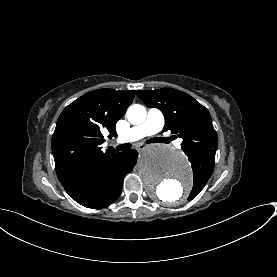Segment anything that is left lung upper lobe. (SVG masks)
I'll list each match as a JSON object with an SVG mask.
<instances>
[{"instance_id":"5c2ea615","label":"left lung upper lobe","mask_w":277,"mask_h":277,"mask_svg":"<svg viewBox=\"0 0 277 277\" xmlns=\"http://www.w3.org/2000/svg\"><path fill=\"white\" fill-rule=\"evenodd\" d=\"M137 95L148 107L162 111L163 131L170 130L183 139L181 147L193 169L194 185L188 197L192 200L201 192L214 168L215 155L205 151L217 149V134L209 111L190 95L172 88L139 90Z\"/></svg>"}]
</instances>
